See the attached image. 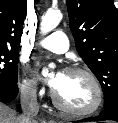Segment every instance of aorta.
<instances>
[{
    "label": "aorta",
    "instance_id": "obj_1",
    "mask_svg": "<svg viewBox=\"0 0 118 123\" xmlns=\"http://www.w3.org/2000/svg\"><path fill=\"white\" fill-rule=\"evenodd\" d=\"M62 19V14L59 10L48 11L41 20L40 30L42 34H47L58 26ZM43 75L48 74V69L42 71Z\"/></svg>",
    "mask_w": 118,
    "mask_h": 123
}]
</instances>
